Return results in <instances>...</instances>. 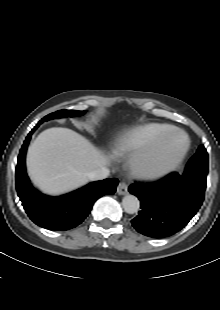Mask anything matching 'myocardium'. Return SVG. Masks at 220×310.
<instances>
[{"label":"myocardium","instance_id":"1","mask_svg":"<svg viewBox=\"0 0 220 310\" xmlns=\"http://www.w3.org/2000/svg\"><path fill=\"white\" fill-rule=\"evenodd\" d=\"M180 136L182 144L175 157L167 163L157 164L156 160L164 145L174 136ZM190 147L187 134L178 128L172 127L163 133L154 145L146 150L136 152L131 160L130 166L133 174L142 180L156 181L173 172L184 160Z\"/></svg>","mask_w":220,"mask_h":310}]
</instances>
